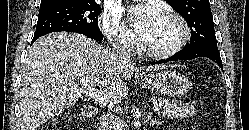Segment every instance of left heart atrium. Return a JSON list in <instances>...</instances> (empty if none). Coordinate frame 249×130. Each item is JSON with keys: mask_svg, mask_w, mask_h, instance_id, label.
<instances>
[{"mask_svg": "<svg viewBox=\"0 0 249 130\" xmlns=\"http://www.w3.org/2000/svg\"><path fill=\"white\" fill-rule=\"evenodd\" d=\"M161 16L160 9L154 4L137 6L130 11V18L144 43L149 39Z\"/></svg>", "mask_w": 249, "mask_h": 130, "instance_id": "1", "label": "left heart atrium"}]
</instances>
